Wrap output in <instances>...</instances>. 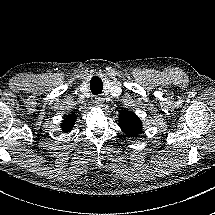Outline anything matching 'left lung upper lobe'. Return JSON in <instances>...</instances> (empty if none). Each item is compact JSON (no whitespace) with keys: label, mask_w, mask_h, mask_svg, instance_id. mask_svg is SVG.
Returning a JSON list of instances; mask_svg holds the SVG:
<instances>
[{"label":"left lung upper lobe","mask_w":215,"mask_h":215,"mask_svg":"<svg viewBox=\"0 0 215 215\" xmlns=\"http://www.w3.org/2000/svg\"><path fill=\"white\" fill-rule=\"evenodd\" d=\"M119 118V126L127 137L137 136L142 132V123L134 112L122 111Z\"/></svg>","instance_id":"1"}]
</instances>
